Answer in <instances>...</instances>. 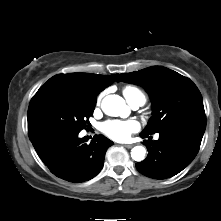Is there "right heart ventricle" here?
Returning <instances> with one entry per match:
<instances>
[{"label": "right heart ventricle", "mask_w": 221, "mask_h": 221, "mask_svg": "<svg viewBox=\"0 0 221 221\" xmlns=\"http://www.w3.org/2000/svg\"><path fill=\"white\" fill-rule=\"evenodd\" d=\"M123 94L129 103L138 99L145 102V96L142 91L134 86H126L123 89Z\"/></svg>", "instance_id": "1"}]
</instances>
